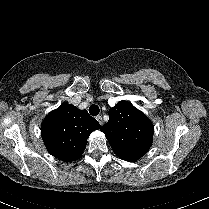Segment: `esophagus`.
Here are the masks:
<instances>
[{"label":"esophagus","instance_id":"1","mask_svg":"<svg viewBox=\"0 0 209 209\" xmlns=\"http://www.w3.org/2000/svg\"><path fill=\"white\" fill-rule=\"evenodd\" d=\"M96 119H97V121L100 123V125H103L102 116H97Z\"/></svg>","mask_w":209,"mask_h":209}]
</instances>
